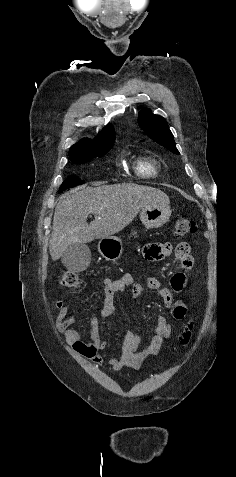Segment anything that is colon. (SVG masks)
<instances>
[{"mask_svg": "<svg viewBox=\"0 0 236 477\" xmlns=\"http://www.w3.org/2000/svg\"><path fill=\"white\" fill-rule=\"evenodd\" d=\"M197 226L195 221L187 217H180L175 221L174 224V235L175 237H184L196 233ZM178 253L186 254L187 249H177ZM60 283L63 287L69 289H79L84 286V279L76 272L66 271L62 274ZM191 331H187L183 335V343H187L190 339Z\"/></svg>", "mask_w": 236, "mask_h": 477, "instance_id": "1", "label": "colon"}]
</instances>
